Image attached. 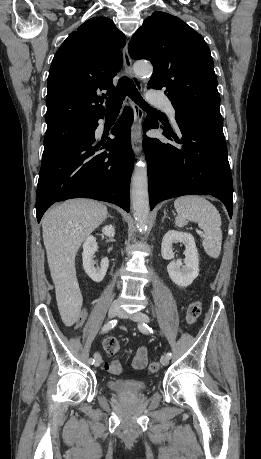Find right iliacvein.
Here are the masks:
<instances>
[{"label":"right iliac vein","mask_w":261,"mask_h":459,"mask_svg":"<svg viewBox=\"0 0 261 459\" xmlns=\"http://www.w3.org/2000/svg\"><path fill=\"white\" fill-rule=\"evenodd\" d=\"M121 311V308H120V305L118 303H113L111 304L110 308H109V312H108V315L110 318H114L115 316H117ZM102 363V358L101 356L98 354L95 358V367H98L100 364Z\"/></svg>","instance_id":"1"}]
</instances>
